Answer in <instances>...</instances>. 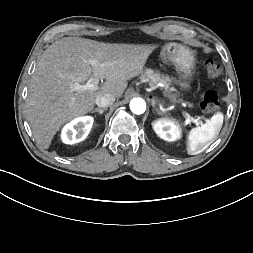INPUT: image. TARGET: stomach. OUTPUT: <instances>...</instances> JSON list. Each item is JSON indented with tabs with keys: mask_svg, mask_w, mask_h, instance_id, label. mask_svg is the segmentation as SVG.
<instances>
[{
	"mask_svg": "<svg viewBox=\"0 0 253 253\" xmlns=\"http://www.w3.org/2000/svg\"><path fill=\"white\" fill-rule=\"evenodd\" d=\"M161 57L163 61L172 63L183 79L191 78L195 65V54L189 47L179 43H168L163 46Z\"/></svg>",
	"mask_w": 253,
	"mask_h": 253,
	"instance_id": "stomach-1",
	"label": "stomach"
}]
</instances>
